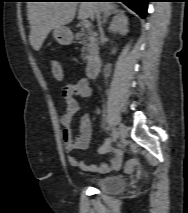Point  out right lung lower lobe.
<instances>
[{
  "label": "right lung lower lobe",
  "instance_id": "98d812e1",
  "mask_svg": "<svg viewBox=\"0 0 188 213\" xmlns=\"http://www.w3.org/2000/svg\"><path fill=\"white\" fill-rule=\"evenodd\" d=\"M108 1H120V2H123L128 7H130L132 10H134L137 14H139L140 17H142V18L146 17L147 2L149 0H108Z\"/></svg>",
  "mask_w": 188,
  "mask_h": 213
}]
</instances>
